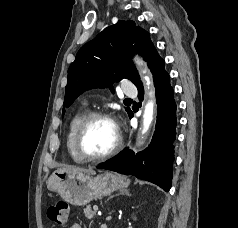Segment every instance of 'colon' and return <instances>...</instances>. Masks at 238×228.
Masks as SVG:
<instances>
[{
    "label": "colon",
    "mask_w": 238,
    "mask_h": 228,
    "mask_svg": "<svg viewBox=\"0 0 238 228\" xmlns=\"http://www.w3.org/2000/svg\"><path fill=\"white\" fill-rule=\"evenodd\" d=\"M46 215L50 222L66 226L70 221V207L66 202L60 201L49 206Z\"/></svg>",
    "instance_id": "5ec220e1"
}]
</instances>
